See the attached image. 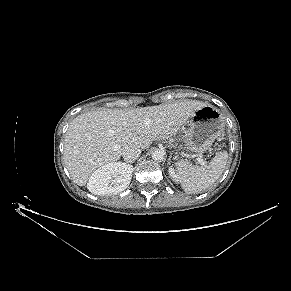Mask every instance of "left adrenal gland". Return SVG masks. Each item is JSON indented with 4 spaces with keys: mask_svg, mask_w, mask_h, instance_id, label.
<instances>
[{
    "mask_svg": "<svg viewBox=\"0 0 291 291\" xmlns=\"http://www.w3.org/2000/svg\"><path fill=\"white\" fill-rule=\"evenodd\" d=\"M170 162H171V157H170L169 160H168V164H170Z\"/></svg>",
    "mask_w": 291,
    "mask_h": 291,
    "instance_id": "a2214340",
    "label": "left adrenal gland"
}]
</instances>
